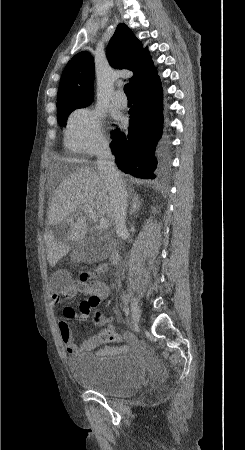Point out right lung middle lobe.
<instances>
[{"label": "right lung middle lobe", "instance_id": "obj_1", "mask_svg": "<svg viewBox=\"0 0 245 450\" xmlns=\"http://www.w3.org/2000/svg\"><path fill=\"white\" fill-rule=\"evenodd\" d=\"M89 104H77V103H65L57 106L58 110V122L60 125H64L67 116L76 108H83Z\"/></svg>", "mask_w": 245, "mask_h": 450}]
</instances>
